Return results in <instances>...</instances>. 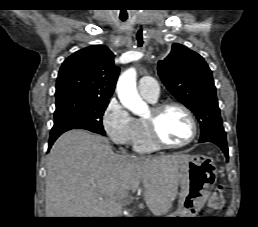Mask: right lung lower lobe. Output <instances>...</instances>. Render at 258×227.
<instances>
[{"mask_svg": "<svg viewBox=\"0 0 258 227\" xmlns=\"http://www.w3.org/2000/svg\"><path fill=\"white\" fill-rule=\"evenodd\" d=\"M72 128L68 126H62V125H54L51 133H50V139H49V148L52 146L54 141L64 132L71 130Z\"/></svg>", "mask_w": 258, "mask_h": 227, "instance_id": "1", "label": "right lung lower lobe"}]
</instances>
